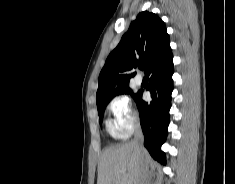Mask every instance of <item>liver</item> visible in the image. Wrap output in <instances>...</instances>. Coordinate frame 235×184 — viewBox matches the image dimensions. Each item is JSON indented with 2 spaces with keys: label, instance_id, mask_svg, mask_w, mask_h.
<instances>
[{
  "label": "liver",
  "instance_id": "6515ba94",
  "mask_svg": "<svg viewBox=\"0 0 235 184\" xmlns=\"http://www.w3.org/2000/svg\"><path fill=\"white\" fill-rule=\"evenodd\" d=\"M147 164H154L147 150H136L132 142L108 148L101 156L97 184H135Z\"/></svg>",
  "mask_w": 235,
  "mask_h": 184
}]
</instances>
